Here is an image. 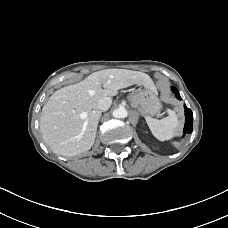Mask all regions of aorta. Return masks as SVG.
<instances>
[{
  "instance_id": "aorta-1",
  "label": "aorta",
  "mask_w": 228,
  "mask_h": 228,
  "mask_svg": "<svg viewBox=\"0 0 228 228\" xmlns=\"http://www.w3.org/2000/svg\"><path fill=\"white\" fill-rule=\"evenodd\" d=\"M113 116L115 118H126L128 116V112L125 108H117L113 111Z\"/></svg>"
}]
</instances>
